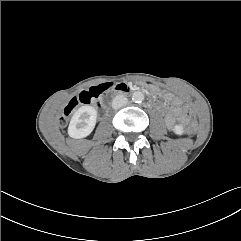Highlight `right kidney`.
<instances>
[{
    "instance_id": "obj_1",
    "label": "right kidney",
    "mask_w": 241,
    "mask_h": 241,
    "mask_svg": "<svg viewBox=\"0 0 241 241\" xmlns=\"http://www.w3.org/2000/svg\"><path fill=\"white\" fill-rule=\"evenodd\" d=\"M97 111L92 106H82L73 114L69 126L68 134L75 139L85 138L91 134L95 128Z\"/></svg>"
}]
</instances>
